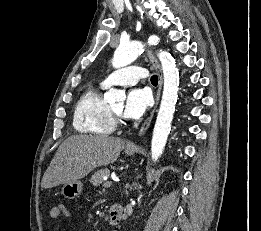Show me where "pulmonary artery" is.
Segmentation results:
<instances>
[{
	"label": "pulmonary artery",
	"mask_w": 261,
	"mask_h": 231,
	"mask_svg": "<svg viewBox=\"0 0 261 231\" xmlns=\"http://www.w3.org/2000/svg\"><path fill=\"white\" fill-rule=\"evenodd\" d=\"M146 77L145 71L142 67L127 66L117 69L110 73L102 82L105 87L111 85L128 86L136 84L139 80Z\"/></svg>",
	"instance_id": "pulmonary-artery-1"
}]
</instances>
